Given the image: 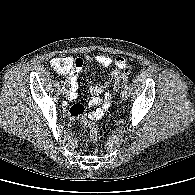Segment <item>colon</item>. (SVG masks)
<instances>
[{
	"mask_svg": "<svg viewBox=\"0 0 195 195\" xmlns=\"http://www.w3.org/2000/svg\"><path fill=\"white\" fill-rule=\"evenodd\" d=\"M52 66L60 72H66L72 66V62L69 57L59 56L54 58L51 61ZM131 67L126 65L122 71L117 75L114 82V88L118 90L122 84H124L127 80V75L130 73ZM84 129L80 130V136L89 135V138L93 141L99 139L98 128L97 125L91 120L84 118L83 119Z\"/></svg>",
	"mask_w": 195,
	"mask_h": 195,
	"instance_id": "1",
	"label": "colon"
}]
</instances>
